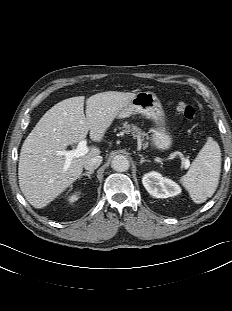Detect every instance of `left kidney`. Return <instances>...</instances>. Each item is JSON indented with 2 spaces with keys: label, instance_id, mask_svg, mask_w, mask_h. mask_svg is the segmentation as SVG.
<instances>
[{
  "label": "left kidney",
  "instance_id": "5707ae66",
  "mask_svg": "<svg viewBox=\"0 0 232 311\" xmlns=\"http://www.w3.org/2000/svg\"><path fill=\"white\" fill-rule=\"evenodd\" d=\"M142 183L148 193L156 198H168L181 193V188L177 183L155 171L146 173L142 178Z\"/></svg>",
  "mask_w": 232,
  "mask_h": 311
}]
</instances>
